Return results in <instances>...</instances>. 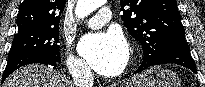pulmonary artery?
Segmentation results:
<instances>
[{
	"label": "pulmonary artery",
	"instance_id": "obj_1",
	"mask_svg": "<svg viewBox=\"0 0 205 87\" xmlns=\"http://www.w3.org/2000/svg\"><path fill=\"white\" fill-rule=\"evenodd\" d=\"M113 19L112 11L107 8H101L98 13L89 18L86 23L90 28L97 29Z\"/></svg>",
	"mask_w": 205,
	"mask_h": 87
}]
</instances>
